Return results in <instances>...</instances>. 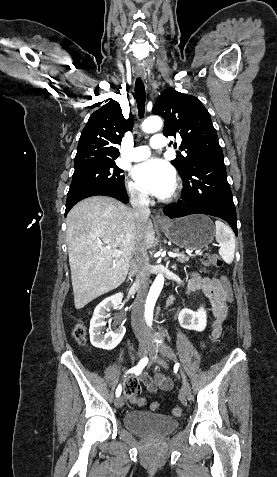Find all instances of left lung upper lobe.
<instances>
[{
	"label": "left lung upper lobe",
	"mask_w": 277,
	"mask_h": 477,
	"mask_svg": "<svg viewBox=\"0 0 277 477\" xmlns=\"http://www.w3.org/2000/svg\"><path fill=\"white\" fill-rule=\"evenodd\" d=\"M152 111L165 119V136L182 138L180 148L187 156L171 161L181 176L187 175L199 159L222 154L210 114L198 98L167 88Z\"/></svg>",
	"instance_id": "left-lung-upper-lobe-1"
}]
</instances>
